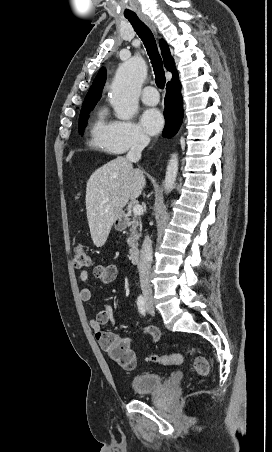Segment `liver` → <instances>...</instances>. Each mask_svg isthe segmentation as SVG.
<instances>
[{
	"label": "liver",
	"mask_w": 272,
	"mask_h": 452,
	"mask_svg": "<svg viewBox=\"0 0 272 452\" xmlns=\"http://www.w3.org/2000/svg\"><path fill=\"white\" fill-rule=\"evenodd\" d=\"M146 185L144 174L125 157L104 164L90 176L86 187V211L91 238L102 247L117 216L129 200L134 201Z\"/></svg>",
	"instance_id": "1"
}]
</instances>
